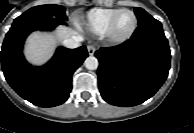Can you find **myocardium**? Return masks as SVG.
I'll return each instance as SVG.
<instances>
[{
	"label": "myocardium",
	"instance_id": "obj_1",
	"mask_svg": "<svg viewBox=\"0 0 194 133\" xmlns=\"http://www.w3.org/2000/svg\"><path fill=\"white\" fill-rule=\"evenodd\" d=\"M123 12L130 13L134 18V23H133V26H132L131 30L126 35L116 36L113 33V27H114L116 19ZM137 25H138V19H137L136 14L130 9L122 8V9H119L117 12H115L111 16V18L108 20L103 35L108 41H110L112 43L122 44V43L128 41L133 36V34L135 33V31L137 29Z\"/></svg>",
	"mask_w": 194,
	"mask_h": 133
}]
</instances>
